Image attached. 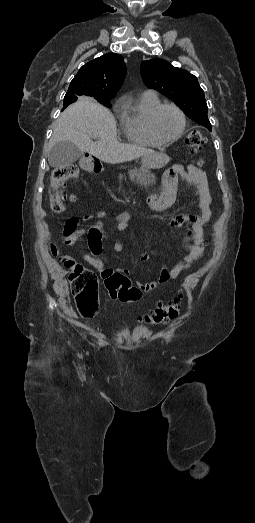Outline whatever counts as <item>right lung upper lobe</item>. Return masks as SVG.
Masks as SVG:
<instances>
[{
    "label": "right lung upper lobe",
    "mask_w": 255,
    "mask_h": 523,
    "mask_svg": "<svg viewBox=\"0 0 255 523\" xmlns=\"http://www.w3.org/2000/svg\"><path fill=\"white\" fill-rule=\"evenodd\" d=\"M126 76V65L121 55L108 53L83 65L70 83L64 97V110L82 100H111L121 88Z\"/></svg>",
    "instance_id": "cb5924a9"
}]
</instances>
